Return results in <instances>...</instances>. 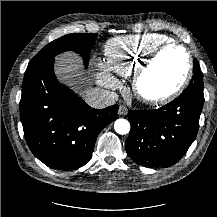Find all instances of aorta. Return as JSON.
<instances>
[{
    "label": "aorta",
    "mask_w": 217,
    "mask_h": 217,
    "mask_svg": "<svg viewBox=\"0 0 217 217\" xmlns=\"http://www.w3.org/2000/svg\"><path fill=\"white\" fill-rule=\"evenodd\" d=\"M114 129L120 135L127 134L130 131V123L126 119H118L114 123Z\"/></svg>",
    "instance_id": "obj_1"
}]
</instances>
